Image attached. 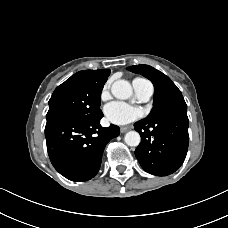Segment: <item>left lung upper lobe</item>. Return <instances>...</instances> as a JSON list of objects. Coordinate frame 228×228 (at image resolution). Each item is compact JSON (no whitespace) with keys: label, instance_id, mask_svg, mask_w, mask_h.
Wrapping results in <instances>:
<instances>
[{"label":"left lung upper lobe","instance_id":"obj_1","mask_svg":"<svg viewBox=\"0 0 228 228\" xmlns=\"http://www.w3.org/2000/svg\"><path fill=\"white\" fill-rule=\"evenodd\" d=\"M128 70L145 76L154 85L153 109L142 121L152 122L173 110L187 108L181 91L172 80L161 71L149 65H133L128 67Z\"/></svg>","mask_w":228,"mask_h":228}]
</instances>
